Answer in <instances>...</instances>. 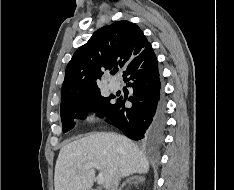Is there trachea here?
<instances>
[{
    "label": "trachea",
    "instance_id": "1",
    "mask_svg": "<svg viewBox=\"0 0 234 190\" xmlns=\"http://www.w3.org/2000/svg\"><path fill=\"white\" fill-rule=\"evenodd\" d=\"M116 72H117V70H114V71H112V74L114 75V74H116Z\"/></svg>",
    "mask_w": 234,
    "mask_h": 190
}]
</instances>
